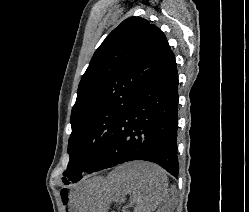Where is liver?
Listing matches in <instances>:
<instances>
[{
	"mask_svg": "<svg viewBox=\"0 0 249 212\" xmlns=\"http://www.w3.org/2000/svg\"><path fill=\"white\" fill-rule=\"evenodd\" d=\"M98 180L105 212L112 202L124 204L127 194L136 204L134 212H154L167 192L165 170L141 160L117 166L107 178Z\"/></svg>",
	"mask_w": 249,
	"mask_h": 212,
	"instance_id": "1",
	"label": "liver"
}]
</instances>
